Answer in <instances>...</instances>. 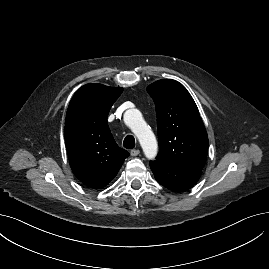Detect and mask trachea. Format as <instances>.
<instances>
[{
    "instance_id": "obj_1",
    "label": "trachea",
    "mask_w": 269,
    "mask_h": 269,
    "mask_svg": "<svg viewBox=\"0 0 269 269\" xmlns=\"http://www.w3.org/2000/svg\"><path fill=\"white\" fill-rule=\"evenodd\" d=\"M123 146L126 149H133L135 147V138L132 135L126 136L123 141Z\"/></svg>"
}]
</instances>
